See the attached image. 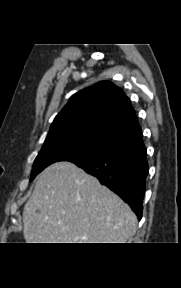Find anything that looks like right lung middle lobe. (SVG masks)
Listing matches in <instances>:
<instances>
[{
    "mask_svg": "<svg viewBox=\"0 0 181 288\" xmlns=\"http://www.w3.org/2000/svg\"><path fill=\"white\" fill-rule=\"evenodd\" d=\"M107 152L109 151H107L105 147L82 138H65L45 141L34 161L30 181L44 168L54 162L94 157Z\"/></svg>",
    "mask_w": 181,
    "mask_h": 288,
    "instance_id": "1",
    "label": "right lung middle lobe"
}]
</instances>
